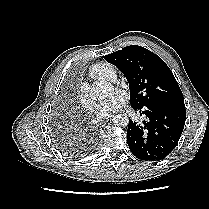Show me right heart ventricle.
I'll return each mask as SVG.
<instances>
[{"label": "right heart ventricle", "mask_w": 209, "mask_h": 209, "mask_svg": "<svg viewBox=\"0 0 209 209\" xmlns=\"http://www.w3.org/2000/svg\"><path fill=\"white\" fill-rule=\"evenodd\" d=\"M88 75L95 80L111 81L112 77L116 75V69L109 63H97L89 69Z\"/></svg>", "instance_id": "e07e8e85"}]
</instances>
